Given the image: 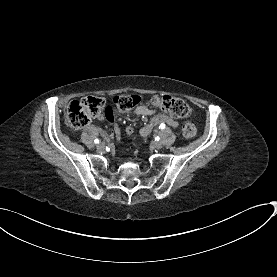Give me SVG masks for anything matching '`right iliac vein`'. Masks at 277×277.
<instances>
[{"label": "right iliac vein", "instance_id": "1", "mask_svg": "<svg viewBox=\"0 0 277 277\" xmlns=\"http://www.w3.org/2000/svg\"><path fill=\"white\" fill-rule=\"evenodd\" d=\"M104 148H105V144H104V143H99V144L97 145V149H98L99 151L104 150Z\"/></svg>", "mask_w": 277, "mask_h": 277}]
</instances>
